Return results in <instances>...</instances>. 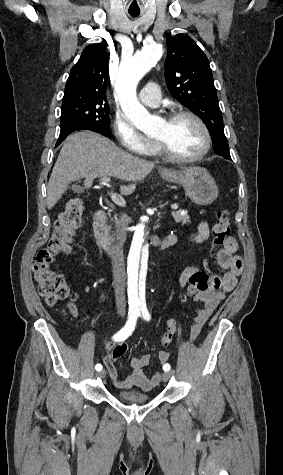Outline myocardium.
<instances>
[{"label":"myocardium","instance_id":"f54148a6","mask_svg":"<svg viewBox=\"0 0 283 475\" xmlns=\"http://www.w3.org/2000/svg\"><path fill=\"white\" fill-rule=\"evenodd\" d=\"M181 117L191 118L201 127L204 134V139H203V144L200 150L196 154L188 156V157H176L169 152L168 148L166 147L165 143L162 140L154 139L158 154L159 156L164 158L166 161L173 164H177V165H187V164L197 163L200 160H202L210 151V148H211L210 130L208 126L206 125V123L203 121V119L191 111H186V110L171 111L167 116V120L172 121Z\"/></svg>","mask_w":283,"mask_h":475}]
</instances>
